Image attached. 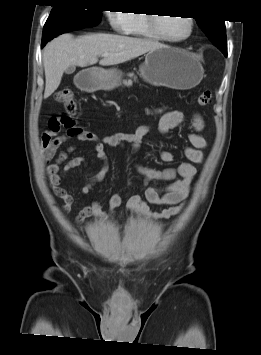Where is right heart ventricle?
<instances>
[{
    "instance_id": "obj_1",
    "label": "right heart ventricle",
    "mask_w": 261,
    "mask_h": 355,
    "mask_svg": "<svg viewBox=\"0 0 261 355\" xmlns=\"http://www.w3.org/2000/svg\"><path fill=\"white\" fill-rule=\"evenodd\" d=\"M127 34L147 38L156 39V36L151 32L148 24V13L133 12L130 14V26Z\"/></svg>"
}]
</instances>
